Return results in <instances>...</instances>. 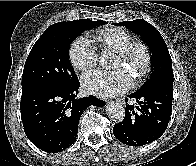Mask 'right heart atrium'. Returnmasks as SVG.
Wrapping results in <instances>:
<instances>
[{
	"label": "right heart atrium",
	"mask_w": 196,
	"mask_h": 166,
	"mask_svg": "<svg viewBox=\"0 0 196 166\" xmlns=\"http://www.w3.org/2000/svg\"><path fill=\"white\" fill-rule=\"evenodd\" d=\"M97 50L86 36L76 38L69 48V59L75 70L86 71L97 62Z\"/></svg>",
	"instance_id": "right-heart-atrium-1"
}]
</instances>
